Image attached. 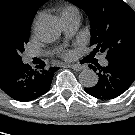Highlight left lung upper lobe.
<instances>
[{
    "label": "left lung upper lobe",
    "mask_w": 135,
    "mask_h": 135,
    "mask_svg": "<svg viewBox=\"0 0 135 135\" xmlns=\"http://www.w3.org/2000/svg\"><path fill=\"white\" fill-rule=\"evenodd\" d=\"M83 9L91 24V46L106 59L135 65V12L122 0H68Z\"/></svg>",
    "instance_id": "1"
}]
</instances>
